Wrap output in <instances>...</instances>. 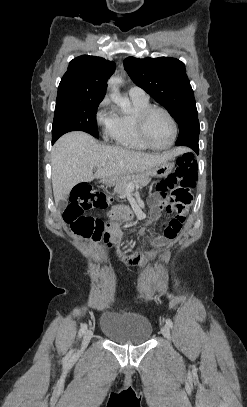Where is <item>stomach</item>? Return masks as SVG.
<instances>
[{
  "instance_id": "obj_1",
  "label": "stomach",
  "mask_w": 247,
  "mask_h": 407,
  "mask_svg": "<svg viewBox=\"0 0 247 407\" xmlns=\"http://www.w3.org/2000/svg\"><path fill=\"white\" fill-rule=\"evenodd\" d=\"M175 166L174 161L168 160L164 163H161L157 166H155L154 168H147V170L145 171H136V176H156V177H166L168 176L173 168ZM126 175H118V176H111L108 178H105L103 181L105 183V185L112 187V186H116Z\"/></svg>"
}]
</instances>
